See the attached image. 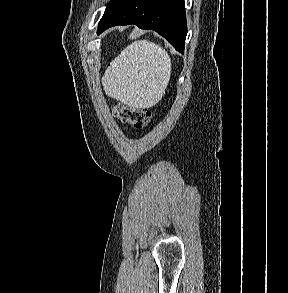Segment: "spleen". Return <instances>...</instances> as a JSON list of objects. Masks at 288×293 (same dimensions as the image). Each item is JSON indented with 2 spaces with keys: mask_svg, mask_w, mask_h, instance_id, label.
Wrapping results in <instances>:
<instances>
[{
  "mask_svg": "<svg viewBox=\"0 0 288 293\" xmlns=\"http://www.w3.org/2000/svg\"><path fill=\"white\" fill-rule=\"evenodd\" d=\"M171 59L159 45L134 41L118 55L102 78L105 93L126 105L149 108L164 95Z\"/></svg>",
  "mask_w": 288,
  "mask_h": 293,
  "instance_id": "spleen-1",
  "label": "spleen"
}]
</instances>
